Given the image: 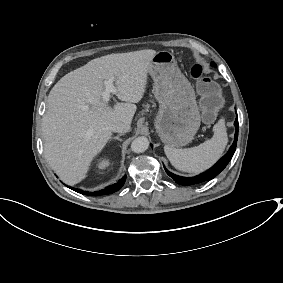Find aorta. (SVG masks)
<instances>
[{
  "instance_id": "aorta-1",
  "label": "aorta",
  "mask_w": 283,
  "mask_h": 283,
  "mask_svg": "<svg viewBox=\"0 0 283 283\" xmlns=\"http://www.w3.org/2000/svg\"><path fill=\"white\" fill-rule=\"evenodd\" d=\"M149 141L146 137L135 138L131 143V150L135 153H142L148 149Z\"/></svg>"
}]
</instances>
